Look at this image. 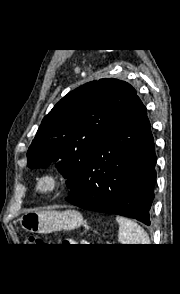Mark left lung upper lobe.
Instances as JSON below:
<instances>
[{
    "label": "left lung upper lobe",
    "mask_w": 180,
    "mask_h": 294,
    "mask_svg": "<svg viewBox=\"0 0 180 294\" xmlns=\"http://www.w3.org/2000/svg\"><path fill=\"white\" fill-rule=\"evenodd\" d=\"M136 97L129 83L112 78L69 92L42 120L27 152L28 166L56 163L69 194H76L94 153Z\"/></svg>",
    "instance_id": "obj_1"
}]
</instances>
